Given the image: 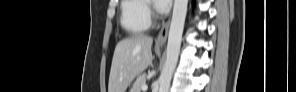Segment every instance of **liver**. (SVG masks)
<instances>
[{"instance_id": "obj_1", "label": "liver", "mask_w": 296, "mask_h": 92, "mask_svg": "<svg viewBox=\"0 0 296 92\" xmlns=\"http://www.w3.org/2000/svg\"><path fill=\"white\" fill-rule=\"evenodd\" d=\"M152 37L138 34L119 41L115 47L108 92H125L135 77L152 63Z\"/></svg>"}]
</instances>
